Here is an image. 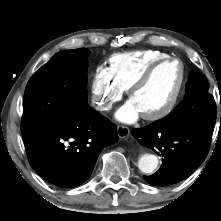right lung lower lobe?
Here are the masks:
<instances>
[{
  "label": "right lung lower lobe",
  "mask_w": 221,
  "mask_h": 221,
  "mask_svg": "<svg viewBox=\"0 0 221 221\" xmlns=\"http://www.w3.org/2000/svg\"><path fill=\"white\" fill-rule=\"evenodd\" d=\"M118 139L116 126L89 105L65 123L23 134L32 168L62 188L84 183L100 151Z\"/></svg>",
  "instance_id": "98d812e1"
}]
</instances>
